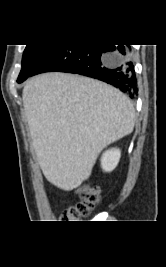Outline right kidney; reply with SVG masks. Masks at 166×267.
<instances>
[{
    "label": "right kidney",
    "instance_id": "obj_1",
    "mask_svg": "<svg viewBox=\"0 0 166 267\" xmlns=\"http://www.w3.org/2000/svg\"><path fill=\"white\" fill-rule=\"evenodd\" d=\"M121 152L119 149H110L103 153L101 158L102 169L106 172H110L116 168L120 160Z\"/></svg>",
    "mask_w": 166,
    "mask_h": 267
}]
</instances>
